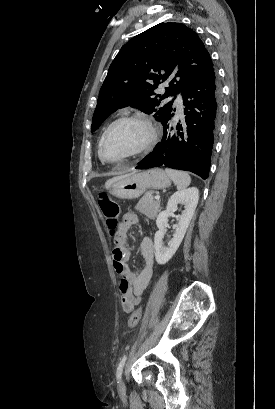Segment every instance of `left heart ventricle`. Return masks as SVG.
I'll list each match as a JSON object with an SVG mask.
<instances>
[{"label": "left heart ventricle", "mask_w": 275, "mask_h": 409, "mask_svg": "<svg viewBox=\"0 0 275 409\" xmlns=\"http://www.w3.org/2000/svg\"><path fill=\"white\" fill-rule=\"evenodd\" d=\"M144 136L143 128L135 123H121L115 126L103 145L105 157H121L134 149Z\"/></svg>", "instance_id": "1"}]
</instances>
